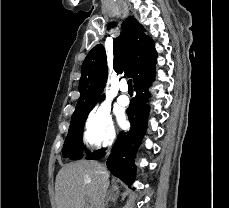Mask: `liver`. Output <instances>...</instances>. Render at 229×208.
Instances as JSON below:
<instances>
[{
  "label": "liver",
  "instance_id": "1",
  "mask_svg": "<svg viewBox=\"0 0 229 208\" xmlns=\"http://www.w3.org/2000/svg\"><path fill=\"white\" fill-rule=\"evenodd\" d=\"M103 172L105 168L93 160L66 164L56 176L57 208H99L103 184H109V176ZM112 190L117 192L118 186L113 184Z\"/></svg>",
  "mask_w": 229,
  "mask_h": 208
}]
</instances>
